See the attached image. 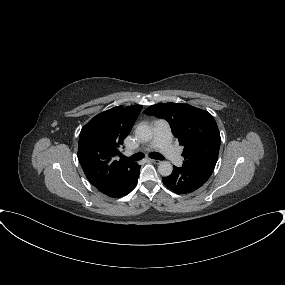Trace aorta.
<instances>
[{
  "mask_svg": "<svg viewBox=\"0 0 285 285\" xmlns=\"http://www.w3.org/2000/svg\"><path fill=\"white\" fill-rule=\"evenodd\" d=\"M135 134L141 141L147 142L152 139L153 130L149 125L141 123L137 126ZM158 171L162 176H169L173 171L172 164L168 161H162L158 166Z\"/></svg>",
  "mask_w": 285,
  "mask_h": 285,
  "instance_id": "obj_1",
  "label": "aorta"
}]
</instances>
